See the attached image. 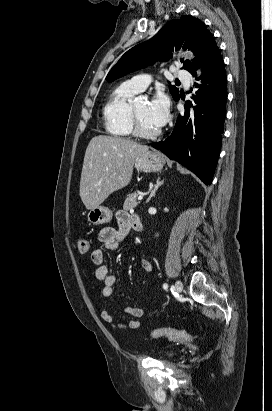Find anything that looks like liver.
Returning a JSON list of instances; mask_svg holds the SVG:
<instances>
[{
  "instance_id": "liver-1",
  "label": "liver",
  "mask_w": 272,
  "mask_h": 411,
  "mask_svg": "<svg viewBox=\"0 0 272 411\" xmlns=\"http://www.w3.org/2000/svg\"><path fill=\"white\" fill-rule=\"evenodd\" d=\"M148 149L124 138L93 137L85 152L80 179V197L85 207L96 208L110 194L127 186L136 158Z\"/></svg>"
}]
</instances>
